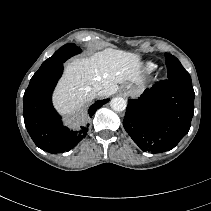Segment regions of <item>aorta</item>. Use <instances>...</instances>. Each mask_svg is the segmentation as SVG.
<instances>
[{
	"mask_svg": "<svg viewBox=\"0 0 211 211\" xmlns=\"http://www.w3.org/2000/svg\"><path fill=\"white\" fill-rule=\"evenodd\" d=\"M110 106L114 111L121 112L126 109L127 102L122 97H115L110 101Z\"/></svg>",
	"mask_w": 211,
	"mask_h": 211,
	"instance_id": "obj_1",
	"label": "aorta"
}]
</instances>
